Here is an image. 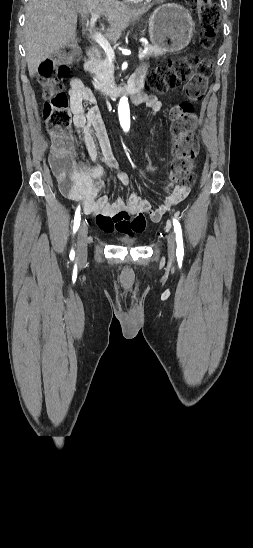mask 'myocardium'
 <instances>
[{
	"mask_svg": "<svg viewBox=\"0 0 253 548\" xmlns=\"http://www.w3.org/2000/svg\"><path fill=\"white\" fill-rule=\"evenodd\" d=\"M148 1H165V0H148Z\"/></svg>",
	"mask_w": 253,
	"mask_h": 548,
	"instance_id": "myocardium-1",
	"label": "myocardium"
}]
</instances>
